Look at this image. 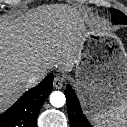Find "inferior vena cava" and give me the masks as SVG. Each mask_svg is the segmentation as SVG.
Listing matches in <instances>:
<instances>
[{
  "mask_svg": "<svg viewBox=\"0 0 127 127\" xmlns=\"http://www.w3.org/2000/svg\"><path fill=\"white\" fill-rule=\"evenodd\" d=\"M47 75L46 70H41L37 72L36 74H33L29 77L27 85L28 87H33L36 84H38L45 76Z\"/></svg>",
  "mask_w": 127,
  "mask_h": 127,
  "instance_id": "inferior-vena-cava-1",
  "label": "inferior vena cava"
}]
</instances>
